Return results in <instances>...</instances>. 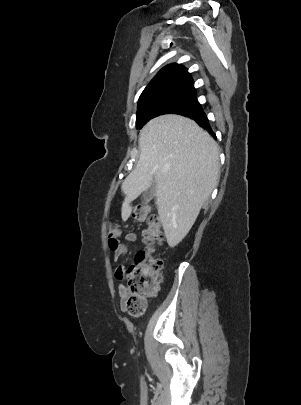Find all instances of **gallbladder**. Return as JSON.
Returning a JSON list of instances; mask_svg holds the SVG:
<instances>
[{"label": "gallbladder", "mask_w": 301, "mask_h": 405, "mask_svg": "<svg viewBox=\"0 0 301 405\" xmlns=\"http://www.w3.org/2000/svg\"><path fill=\"white\" fill-rule=\"evenodd\" d=\"M156 196V182L153 181L152 185L143 192L142 200L144 203L150 202Z\"/></svg>", "instance_id": "1"}]
</instances>
